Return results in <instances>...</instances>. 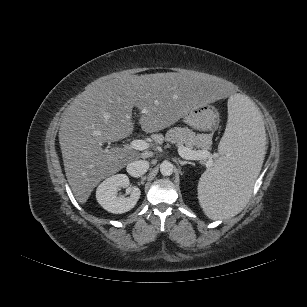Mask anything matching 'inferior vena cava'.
Masks as SVG:
<instances>
[{"label": "inferior vena cava", "instance_id": "obj_1", "mask_svg": "<svg viewBox=\"0 0 307 307\" xmlns=\"http://www.w3.org/2000/svg\"><path fill=\"white\" fill-rule=\"evenodd\" d=\"M149 168V162L145 160H135L127 164L126 170L132 177H141Z\"/></svg>", "mask_w": 307, "mask_h": 307}]
</instances>
